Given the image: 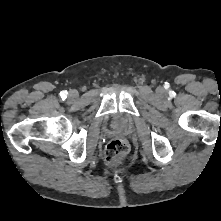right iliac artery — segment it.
<instances>
[{"mask_svg": "<svg viewBox=\"0 0 221 221\" xmlns=\"http://www.w3.org/2000/svg\"><path fill=\"white\" fill-rule=\"evenodd\" d=\"M60 94H61L62 99L66 98V92L65 91L61 92Z\"/></svg>", "mask_w": 221, "mask_h": 221, "instance_id": "1", "label": "right iliac artery"}]
</instances>
